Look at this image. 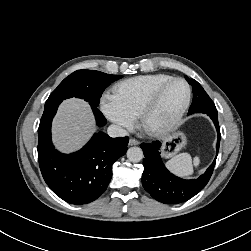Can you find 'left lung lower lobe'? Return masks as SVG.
Returning <instances> with one entry per match:
<instances>
[{
  "label": "left lung lower lobe",
  "instance_id": "0a47b994",
  "mask_svg": "<svg viewBox=\"0 0 251 251\" xmlns=\"http://www.w3.org/2000/svg\"><path fill=\"white\" fill-rule=\"evenodd\" d=\"M198 99V96L193 95V100L195 102H197ZM202 111V109H199V112L203 113ZM206 114L214 122L218 133L216 145L217 158L221 139L218 114ZM140 146L145 156L143 159L144 172L142 175V185L144 189L159 202L165 204H178L189 200L206 186L213 173L216 158L206 172L197 179H181L170 173L164 166L160 156L161 142L142 143Z\"/></svg>",
  "mask_w": 251,
  "mask_h": 251
}]
</instances>
